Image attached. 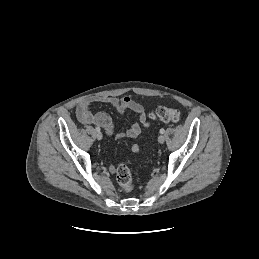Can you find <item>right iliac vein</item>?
<instances>
[{
  "label": "right iliac vein",
  "instance_id": "right-iliac-vein-1",
  "mask_svg": "<svg viewBox=\"0 0 259 259\" xmlns=\"http://www.w3.org/2000/svg\"><path fill=\"white\" fill-rule=\"evenodd\" d=\"M102 137H103V135H102L101 132H97V133H96V138H97L98 140H101Z\"/></svg>",
  "mask_w": 259,
  "mask_h": 259
}]
</instances>
